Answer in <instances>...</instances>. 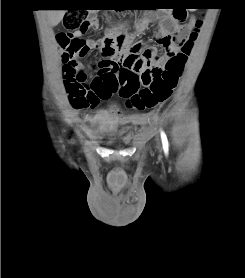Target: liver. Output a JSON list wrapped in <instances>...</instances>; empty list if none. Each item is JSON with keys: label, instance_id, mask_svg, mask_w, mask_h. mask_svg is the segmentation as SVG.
<instances>
[{"label": "liver", "instance_id": "obj_1", "mask_svg": "<svg viewBox=\"0 0 245 278\" xmlns=\"http://www.w3.org/2000/svg\"><path fill=\"white\" fill-rule=\"evenodd\" d=\"M47 20L50 26H56L63 19L66 10H47Z\"/></svg>", "mask_w": 245, "mask_h": 278}]
</instances>
